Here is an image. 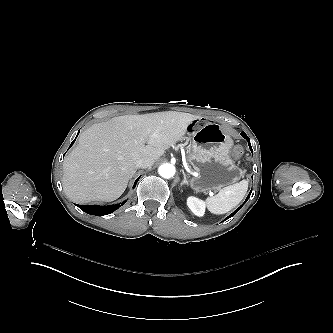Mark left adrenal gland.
Here are the masks:
<instances>
[{
  "mask_svg": "<svg viewBox=\"0 0 333 333\" xmlns=\"http://www.w3.org/2000/svg\"><path fill=\"white\" fill-rule=\"evenodd\" d=\"M182 174H183V180L180 183L181 186H183L184 184H188V181H187L186 174H185L184 170H182Z\"/></svg>",
  "mask_w": 333,
  "mask_h": 333,
  "instance_id": "a2214340",
  "label": "left adrenal gland"
}]
</instances>
